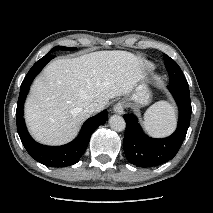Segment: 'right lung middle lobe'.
<instances>
[{"label": "right lung middle lobe", "instance_id": "obj_1", "mask_svg": "<svg viewBox=\"0 0 213 213\" xmlns=\"http://www.w3.org/2000/svg\"><path fill=\"white\" fill-rule=\"evenodd\" d=\"M74 49H75V48H73V47L56 46V47L52 48V49L49 51V53H53V52H55V51H57V50L72 51V50H74Z\"/></svg>", "mask_w": 213, "mask_h": 213}]
</instances>
